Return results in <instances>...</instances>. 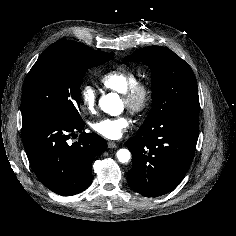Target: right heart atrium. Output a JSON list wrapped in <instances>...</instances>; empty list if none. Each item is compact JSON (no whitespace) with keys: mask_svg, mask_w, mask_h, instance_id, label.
Here are the masks:
<instances>
[{"mask_svg":"<svg viewBox=\"0 0 236 236\" xmlns=\"http://www.w3.org/2000/svg\"><path fill=\"white\" fill-rule=\"evenodd\" d=\"M80 99L82 105L88 112H95L97 105V92L92 85H82L80 89Z\"/></svg>","mask_w":236,"mask_h":236,"instance_id":"1","label":"right heart atrium"}]
</instances>
